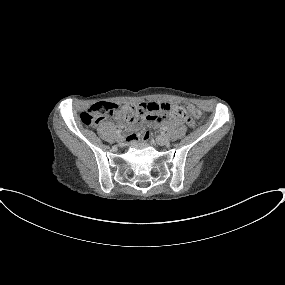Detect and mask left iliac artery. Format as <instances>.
<instances>
[{"instance_id": "44dca946", "label": "left iliac artery", "mask_w": 285, "mask_h": 285, "mask_svg": "<svg viewBox=\"0 0 285 285\" xmlns=\"http://www.w3.org/2000/svg\"><path fill=\"white\" fill-rule=\"evenodd\" d=\"M167 129H168L167 127H163V130H164V131H167Z\"/></svg>"}]
</instances>
